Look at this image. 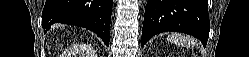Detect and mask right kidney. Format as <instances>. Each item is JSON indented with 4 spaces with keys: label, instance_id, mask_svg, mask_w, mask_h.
Returning <instances> with one entry per match:
<instances>
[{
    "label": "right kidney",
    "instance_id": "1",
    "mask_svg": "<svg viewBox=\"0 0 249 57\" xmlns=\"http://www.w3.org/2000/svg\"><path fill=\"white\" fill-rule=\"evenodd\" d=\"M86 50L89 51V52H91V46H87ZM63 55L65 57H73L75 55V53L71 51V52H68V53H64Z\"/></svg>",
    "mask_w": 249,
    "mask_h": 57
}]
</instances>
